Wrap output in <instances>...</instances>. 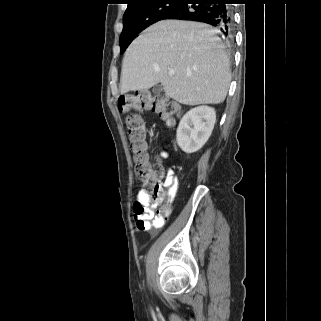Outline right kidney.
I'll use <instances>...</instances> for the list:
<instances>
[{"mask_svg": "<svg viewBox=\"0 0 321 321\" xmlns=\"http://www.w3.org/2000/svg\"><path fill=\"white\" fill-rule=\"evenodd\" d=\"M216 122L215 109L199 106L189 110L181 119L176 140L187 154L198 151L209 139Z\"/></svg>", "mask_w": 321, "mask_h": 321, "instance_id": "obj_1", "label": "right kidney"}]
</instances>
